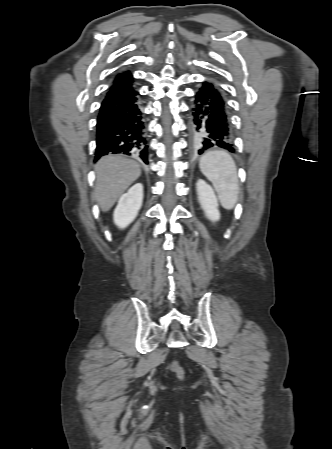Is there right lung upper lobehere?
<instances>
[{
	"label": "right lung upper lobe",
	"mask_w": 332,
	"mask_h": 449,
	"mask_svg": "<svg viewBox=\"0 0 332 449\" xmlns=\"http://www.w3.org/2000/svg\"><path fill=\"white\" fill-rule=\"evenodd\" d=\"M133 77L129 71L116 76L107 94H121L133 90Z\"/></svg>",
	"instance_id": "1"
}]
</instances>
